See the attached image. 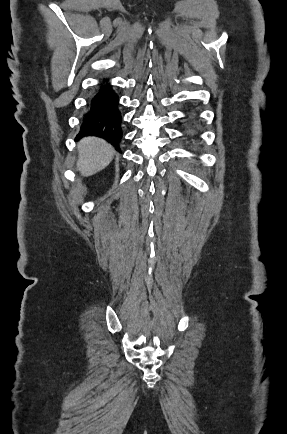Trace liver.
I'll return each mask as SVG.
<instances>
[{"mask_svg": "<svg viewBox=\"0 0 287 434\" xmlns=\"http://www.w3.org/2000/svg\"><path fill=\"white\" fill-rule=\"evenodd\" d=\"M77 170L85 177L91 176L112 161L115 150L106 141L97 137H86L78 144Z\"/></svg>", "mask_w": 287, "mask_h": 434, "instance_id": "6515ba94", "label": "liver"}]
</instances>
